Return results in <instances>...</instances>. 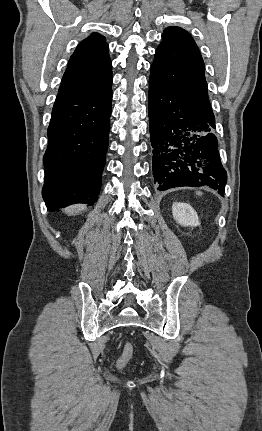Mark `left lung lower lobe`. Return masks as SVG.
<instances>
[{
	"label": "left lung lower lobe",
	"mask_w": 262,
	"mask_h": 431,
	"mask_svg": "<svg viewBox=\"0 0 262 431\" xmlns=\"http://www.w3.org/2000/svg\"><path fill=\"white\" fill-rule=\"evenodd\" d=\"M152 169L157 189L207 186L224 194L227 174L207 118L183 97L149 80Z\"/></svg>",
	"instance_id": "1"
}]
</instances>
